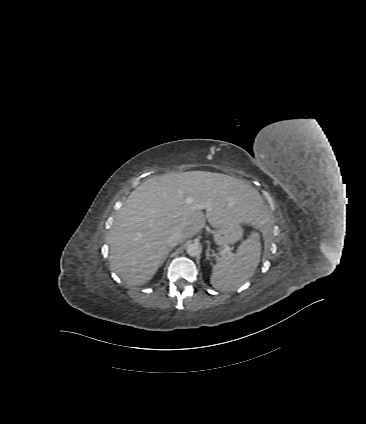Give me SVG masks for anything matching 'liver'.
I'll return each instance as SVG.
<instances>
[{
    "label": "liver",
    "instance_id": "liver-1",
    "mask_svg": "<svg viewBox=\"0 0 366 424\" xmlns=\"http://www.w3.org/2000/svg\"><path fill=\"white\" fill-rule=\"evenodd\" d=\"M208 203L206 214L196 205ZM264 202L250 184L229 175L187 171L155 176L126 199L109 233L110 263L123 281L149 282L168 252L167 238L185 241L208 223L218 228L234 222L263 229Z\"/></svg>",
    "mask_w": 366,
    "mask_h": 424
}]
</instances>
